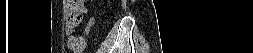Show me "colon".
<instances>
[{"label":"colon","instance_id":"5ec220e1","mask_svg":"<svg viewBox=\"0 0 253 53\" xmlns=\"http://www.w3.org/2000/svg\"><path fill=\"white\" fill-rule=\"evenodd\" d=\"M82 1L69 0L67 1V23L72 26H76L80 23L85 9L79 4Z\"/></svg>","mask_w":253,"mask_h":53}]
</instances>
